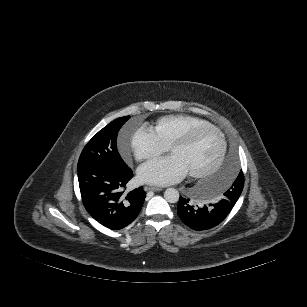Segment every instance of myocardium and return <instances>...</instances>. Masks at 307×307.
<instances>
[{
    "instance_id": "f54148a6",
    "label": "myocardium",
    "mask_w": 307,
    "mask_h": 307,
    "mask_svg": "<svg viewBox=\"0 0 307 307\" xmlns=\"http://www.w3.org/2000/svg\"><path fill=\"white\" fill-rule=\"evenodd\" d=\"M206 130H213L219 135L220 140H221L220 152H219L216 162L211 168L203 170V171H198V172H189L188 173L189 176L193 178L208 177L214 174L215 172H217L219 168L222 166L224 159L226 157L227 148H228L227 140H226V137L223 131L219 127L211 123L206 124V125L196 126V127L191 128L189 131L183 133L181 136H179L175 140H173L168 146V151L171 152L176 147L189 145L191 142L195 140V138L201 132L206 131Z\"/></svg>"
}]
</instances>
